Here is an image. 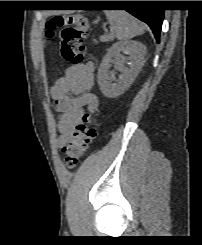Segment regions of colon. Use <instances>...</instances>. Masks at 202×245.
<instances>
[{"label": "colon", "mask_w": 202, "mask_h": 245, "mask_svg": "<svg viewBox=\"0 0 202 245\" xmlns=\"http://www.w3.org/2000/svg\"><path fill=\"white\" fill-rule=\"evenodd\" d=\"M88 23L83 16H54L46 23V34L56 38L58 53L62 59L72 64H80L87 55L83 41L87 36ZM97 135V124L87 114L72 139L62 148L64 163L74 168L88 150Z\"/></svg>", "instance_id": "obj_1"}]
</instances>
